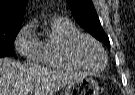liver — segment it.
I'll return each instance as SVG.
<instances>
[{"mask_svg": "<svg viewBox=\"0 0 135 95\" xmlns=\"http://www.w3.org/2000/svg\"><path fill=\"white\" fill-rule=\"evenodd\" d=\"M83 77L71 71L0 58V95H54L61 87Z\"/></svg>", "mask_w": 135, "mask_h": 95, "instance_id": "obj_1", "label": "liver"}]
</instances>
